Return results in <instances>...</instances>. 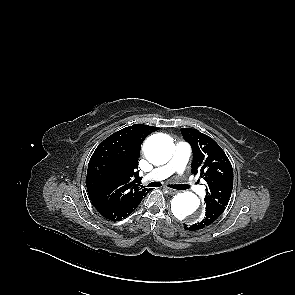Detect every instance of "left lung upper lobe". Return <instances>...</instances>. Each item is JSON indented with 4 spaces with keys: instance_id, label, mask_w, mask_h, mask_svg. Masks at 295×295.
<instances>
[{
    "instance_id": "5c2ea615",
    "label": "left lung upper lobe",
    "mask_w": 295,
    "mask_h": 295,
    "mask_svg": "<svg viewBox=\"0 0 295 295\" xmlns=\"http://www.w3.org/2000/svg\"><path fill=\"white\" fill-rule=\"evenodd\" d=\"M181 133L193 150L192 172L206 181L205 203L226 206L233 189V169L222 148L209 136L192 128Z\"/></svg>"
}]
</instances>
